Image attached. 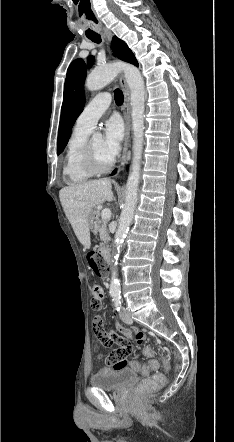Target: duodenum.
<instances>
[{"label":"duodenum","mask_w":234,"mask_h":442,"mask_svg":"<svg viewBox=\"0 0 234 442\" xmlns=\"http://www.w3.org/2000/svg\"><path fill=\"white\" fill-rule=\"evenodd\" d=\"M100 255L108 265L111 263V254L107 248H102L100 250Z\"/></svg>","instance_id":"1"}]
</instances>
